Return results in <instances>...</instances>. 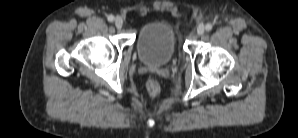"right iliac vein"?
Instances as JSON below:
<instances>
[{"instance_id": "obj_1", "label": "right iliac vein", "mask_w": 298, "mask_h": 138, "mask_svg": "<svg viewBox=\"0 0 298 138\" xmlns=\"http://www.w3.org/2000/svg\"><path fill=\"white\" fill-rule=\"evenodd\" d=\"M114 23H115L116 28L121 29L123 26V19L118 16L115 18Z\"/></svg>"}]
</instances>
